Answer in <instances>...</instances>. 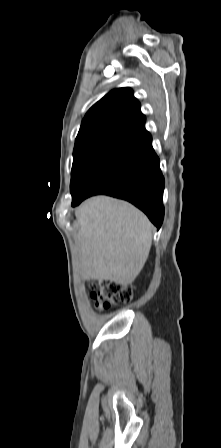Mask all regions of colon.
<instances>
[{"label": "colon", "mask_w": 221, "mask_h": 448, "mask_svg": "<svg viewBox=\"0 0 221 448\" xmlns=\"http://www.w3.org/2000/svg\"><path fill=\"white\" fill-rule=\"evenodd\" d=\"M91 295L98 306L108 308L128 303L132 299V290L128 286L105 280L93 287Z\"/></svg>", "instance_id": "5ec220e1"}]
</instances>
